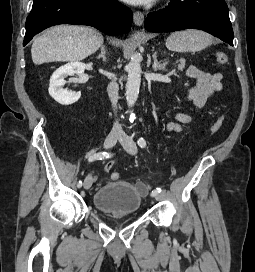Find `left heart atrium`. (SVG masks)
<instances>
[{"label":"left heart atrium","instance_id":"39dd6f15","mask_svg":"<svg viewBox=\"0 0 255 272\" xmlns=\"http://www.w3.org/2000/svg\"><path fill=\"white\" fill-rule=\"evenodd\" d=\"M124 1L132 3V4H136V5H145V4H149L153 0H124Z\"/></svg>","mask_w":255,"mask_h":272}]
</instances>
